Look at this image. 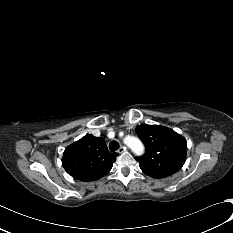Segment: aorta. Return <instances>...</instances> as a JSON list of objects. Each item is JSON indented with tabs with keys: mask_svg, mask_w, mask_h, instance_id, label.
Instances as JSON below:
<instances>
[{
	"mask_svg": "<svg viewBox=\"0 0 233 233\" xmlns=\"http://www.w3.org/2000/svg\"><path fill=\"white\" fill-rule=\"evenodd\" d=\"M125 143L135 154H141L143 152V145L139 139L135 137H128L125 139Z\"/></svg>",
	"mask_w": 233,
	"mask_h": 233,
	"instance_id": "762f6f07",
	"label": "aorta"
}]
</instances>
